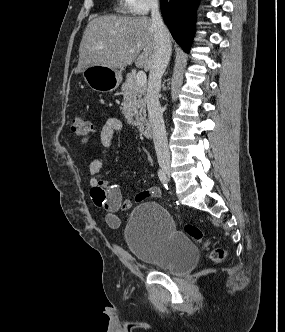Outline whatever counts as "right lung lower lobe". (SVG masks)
Instances as JSON below:
<instances>
[{"mask_svg":"<svg viewBox=\"0 0 285 332\" xmlns=\"http://www.w3.org/2000/svg\"><path fill=\"white\" fill-rule=\"evenodd\" d=\"M161 12L173 38L189 52L199 0H160Z\"/></svg>","mask_w":285,"mask_h":332,"instance_id":"98d812e1","label":"right lung lower lobe"}]
</instances>
